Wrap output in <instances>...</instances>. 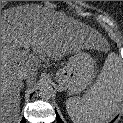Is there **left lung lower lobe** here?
I'll list each match as a JSON object with an SVG mask.
<instances>
[{"instance_id":"0a47b994","label":"left lung lower lobe","mask_w":123,"mask_h":123,"mask_svg":"<svg viewBox=\"0 0 123 123\" xmlns=\"http://www.w3.org/2000/svg\"><path fill=\"white\" fill-rule=\"evenodd\" d=\"M57 122L58 123H63V121L58 117V115H57Z\"/></svg>"}]
</instances>
